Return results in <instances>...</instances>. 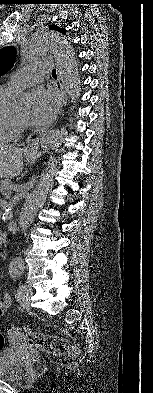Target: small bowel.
I'll list each match as a JSON object with an SVG mask.
<instances>
[{"label": "small bowel", "instance_id": "obj_1", "mask_svg": "<svg viewBox=\"0 0 153 393\" xmlns=\"http://www.w3.org/2000/svg\"><path fill=\"white\" fill-rule=\"evenodd\" d=\"M0 302L5 304V308H0V317L7 311V309L12 305V297L10 294H5L0 298ZM16 333H19L17 329L14 330ZM19 337L22 338V335L19 333Z\"/></svg>", "mask_w": 153, "mask_h": 393}]
</instances>
